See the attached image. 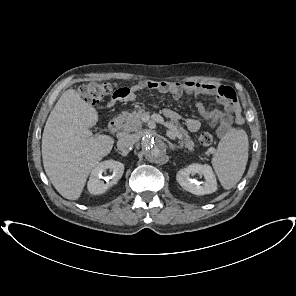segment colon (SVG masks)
<instances>
[{"mask_svg":"<svg viewBox=\"0 0 296 296\" xmlns=\"http://www.w3.org/2000/svg\"><path fill=\"white\" fill-rule=\"evenodd\" d=\"M127 92V88L118 87L109 82H90L83 84L79 88L81 97L89 103H97L106 97H121ZM199 144L202 146H209L213 142V136L207 131L200 133L198 138Z\"/></svg>","mask_w":296,"mask_h":296,"instance_id":"5ec220e1","label":"colon"}]
</instances>
